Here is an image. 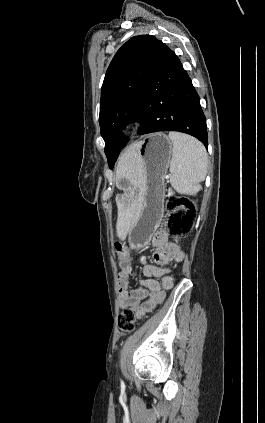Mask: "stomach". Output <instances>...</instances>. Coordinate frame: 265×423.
Instances as JSON below:
<instances>
[{"instance_id": "0dacf381", "label": "stomach", "mask_w": 265, "mask_h": 423, "mask_svg": "<svg viewBox=\"0 0 265 423\" xmlns=\"http://www.w3.org/2000/svg\"><path fill=\"white\" fill-rule=\"evenodd\" d=\"M137 162L142 168V182L136 187L141 197L139 215L128 232L132 249L146 246L159 227L164 213V176L170 164L173 144L164 133L147 135L137 142Z\"/></svg>"}]
</instances>
